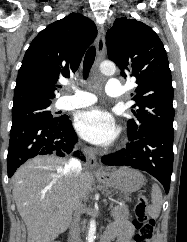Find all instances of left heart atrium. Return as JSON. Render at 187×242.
Here are the masks:
<instances>
[{
    "instance_id": "obj_1",
    "label": "left heart atrium",
    "mask_w": 187,
    "mask_h": 242,
    "mask_svg": "<svg viewBox=\"0 0 187 242\" xmlns=\"http://www.w3.org/2000/svg\"><path fill=\"white\" fill-rule=\"evenodd\" d=\"M75 127L84 139L100 145L109 144L118 133L113 117L100 108L80 112L76 116Z\"/></svg>"
}]
</instances>
